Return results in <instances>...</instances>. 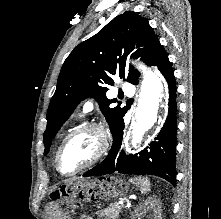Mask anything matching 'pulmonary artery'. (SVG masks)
Wrapping results in <instances>:
<instances>
[{"label": "pulmonary artery", "instance_id": "pulmonary-artery-1", "mask_svg": "<svg viewBox=\"0 0 221 219\" xmlns=\"http://www.w3.org/2000/svg\"><path fill=\"white\" fill-rule=\"evenodd\" d=\"M121 90L127 95H131L134 92L133 86L128 81L121 82ZM93 107H94V103L92 101H87L84 103L82 110L84 113H87V112L91 111L93 109Z\"/></svg>", "mask_w": 221, "mask_h": 219}]
</instances>
